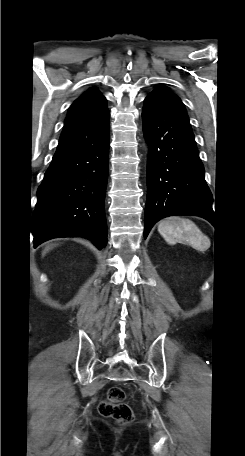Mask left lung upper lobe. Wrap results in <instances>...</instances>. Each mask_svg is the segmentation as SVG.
<instances>
[{"mask_svg":"<svg viewBox=\"0 0 245 456\" xmlns=\"http://www.w3.org/2000/svg\"><path fill=\"white\" fill-rule=\"evenodd\" d=\"M147 97L158 100L162 103L169 104L175 107H178L182 110H185L184 105L180 98L173 94L167 87L165 86H157L154 91L149 94Z\"/></svg>","mask_w":245,"mask_h":456,"instance_id":"left-lung-upper-lobe-1","label":"left lung upper lobe"}]
</instances>
